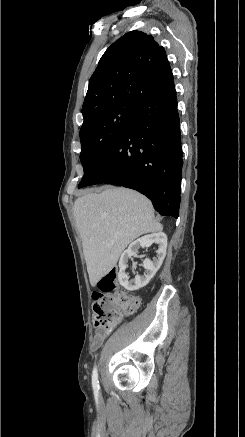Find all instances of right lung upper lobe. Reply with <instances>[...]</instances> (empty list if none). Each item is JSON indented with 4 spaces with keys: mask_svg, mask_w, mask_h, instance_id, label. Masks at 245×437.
Wrapping results in <instances>:
<instances>
[{
    "mask_svg": "<svg viewBox=\"0 0 245 437\" xmlns=\"http://www.w3.org/2000/svg\"><path fill=\"white\" fill-rule=\"evenodd\" d=\"M175 91L166 52L151 35L134 30L112 44L90 78L83 118L114 103L139 104Z\"/></svg>",
    "mask_w": 245,
    "mask_h": 437,
    "instance_id": "right-lung-upper-lobe-1",
    "label": "right lung upper lobe"
}]
</instances>
